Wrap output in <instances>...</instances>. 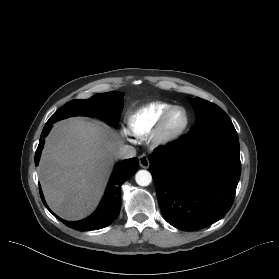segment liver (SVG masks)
<instances>
[{
  "mask_svg": "<svg viewBox=\"0 0 279 279\" xmlns=\"http://www.w3.org/2000/svg\"><path fill=\"white\" fill-rule=\"evenodd\" d=\"M119 135L98 120L74 117L57 123L46 138L39 178L50 208L79 220L97 206L109 178Z\"/></svg>",
  "mask_w": 279,
  "mask_h": 279,
  "instance_id": "6515ba94",
  "label": "liver"
}]
</instances>
